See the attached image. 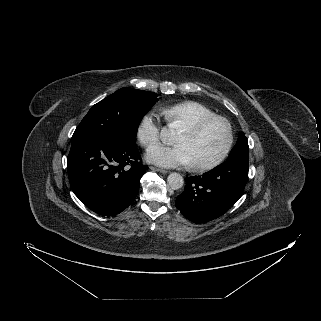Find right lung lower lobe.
Masks as SVG:
<instances>
[{
    "instance_id": "98d812e1",
    "label": "right lung lower lobe",
    "mask_w": 321,
    "mask_h": 321,
    "mask_svg": "<svg viewBox=\"0 0 321 321\" xmlns=\"http://www.w3.org/2000/svg\"><path fill=\"white\" fill-rule=\"evenodd\" d=\"M135 141L84 137L71 142L67 157L71 188L89 209L114 216L136 198L148 168L141 164Z\"/></svg>"
}]
</instances>
